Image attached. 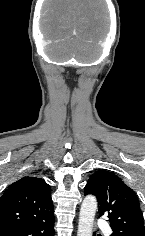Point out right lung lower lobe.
<instances>
[{"instance_id": "98d812e1", "label": "right lung lower lobe", "mask_w": 145, "mask_h": 236, "mask_svg": "<svg viewBox=\"0 0 145 236\" xmlns=\"http://www.w3.org/2000/svg\"><path fill=\"white\" fill-rule=\"evenodd\" d=\"M0 236H54V215L36 223L2 229Z\"/></svg>"}]
</instances>
